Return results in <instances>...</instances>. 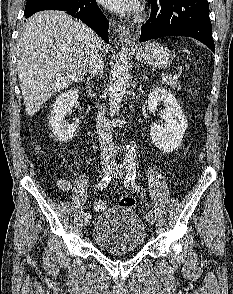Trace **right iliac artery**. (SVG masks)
I'll return each instance as SVG.
<instances>
[{
	"mask_svg": "<svg viewBox=\"0 0 233 294\" xmlns=\"http://www.w3.org/2000/svg\"><path fill=\"white\" fill-rule=\"evenodd\" d=\"M124 165L125 164H120L119 168L120 169H123L124 168ZM112 179V176L111 175H108L106 177H104L99 183H98V189L102 190L104 189L105 187H107L108 183L111 181ZM85 218H88L90 217V214L88 212H86L85 214Z\"/></svg>",
	"mask_w": 233,
	"mask_h": 294,
	"instance_id": "obj_1",
	"label": "right iliac artery"
}]
</instances>
